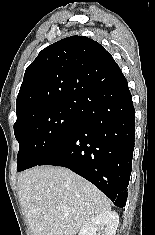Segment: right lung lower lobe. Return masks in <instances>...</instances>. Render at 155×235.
<instances>
[{
  "instance_id": "obj_1",
  "label": "right lung lower lobe",
  "mask_w": 155,
  "mask_h": 235,
  "mask_svg": "<svg viewBox=\"0 0 155 235\" xmlns=\"http://www.w3.org/2000/svg\"><path fill=\"white\" fill-rule=\"evenodd\" d=\"M78 118L82 125L38 165L69 168L124 207L135 136V110L124 75L95 87L78 106Z\"/></svg>"
}]
</instances>
